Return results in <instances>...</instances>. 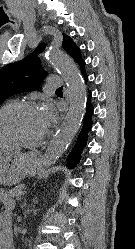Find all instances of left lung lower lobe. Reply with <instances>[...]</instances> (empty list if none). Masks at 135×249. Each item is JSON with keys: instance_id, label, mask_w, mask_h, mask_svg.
<instances>
[{"instance_id": "obj_1", "label": "left lung lower lobe", "mask_w": 135, "mask_h": 249, "mask_svg": "<svg viewBox=\"0 0 135 249\" xmlns=\"http://www.w3.org/2000/svg\"><path fill=\"white\" fill-rule=\"evenodd\" d=\"M81 73L85 79V81H88V75L85 71V65L81 67ZM91 97L92 93L89 91V96L87 100L86 105V114L83 121V127L82 130L78 136L77 142L72 149V151L69 154L68 160H67V166L69 168H74L80 161V154L83 149V147L87 144V134L91 130L92 127V114H93V106L91 104Z\"/></svg>"}]
</instances>
